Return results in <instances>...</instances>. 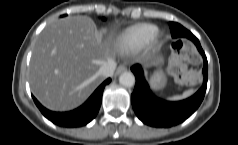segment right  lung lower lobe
I'll return each instance as SVG.
<instances>
[{
	"label": "right lung lower lobe",
	"mask_w": 238,
	"mask_h": 145,
	"mask_svg": "<svg viewBox=\"0 0 238 145\" xmlns=\"http://www.w3.org/2000/svg\"><path fill=\"white\" fill-rule=\"evenodd\" d=\"M110 81V78L104 81L82 106L70 112H52L44 108L34 96L32 97L41 113L54 124L61 127H81L96 117L101 106L104 87Z\"/></svg>",
	"instance_id": "right-lung-lower-lobe-1"
}]
</instances>
